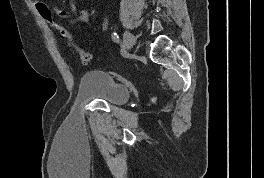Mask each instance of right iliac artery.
I'll return each mask as SVG.
<instances>
[{
  "label": "right iliac artery",
  "mask_w": 264,
  "mask_h": 178,
  "mask_svg": "<svg viewBox=\"0 0 264 178\" xmlns=\"http://www.w3.org/2000/svg\"><path fill=\"white\" fill-rule=\"evenodd\" d=\"M111 38L115 43H120V38L117 33H112Z\"/></svg>",
  "instance_id": "82829eb1"
}]
</instances>
